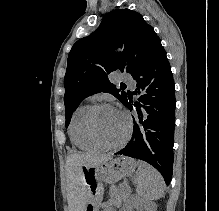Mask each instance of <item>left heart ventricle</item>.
<instances>
[{
  "mask_svg": "<svg viewBox=\"0 0 219 211\" xmlns=\"http://www.w3.org/2000/svg\"><path fill=\"white\" fill-rule=\"evenodd\" d=\"M94 129L103 141L116 143L125 133L126 121L119 112L105 107L96 112Z\"/></svg>",
  "mask_w": 219,
  "mask_h": 211,
  "instance_id": "obj_1",
  "label": "left heart ventricle"
}]
</instances>
